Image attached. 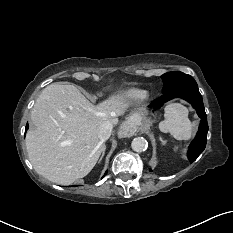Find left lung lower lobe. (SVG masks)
<instances>
[{"mask_svg":"<svg viewBox=\"0 0 233 233\" xmlns=\"http://www.w3.org/2000/svg\"><path fill=\"white\" fill-rule=\"evenodd\" d=\"M176 97L188 101L196 110L198 116L201 118L198 133L195 139L193 140V142L191 143V145L189 146V150L187 153L188 159L192 163L198 158V156L205 149L206 141H207V132H208L207 117L204 110L202 96L199 92L197 84H186L176 87L173 90L163 94L160 98L156 99L150 105V107L154 109H158L165 102Z\"/></svg>","mask_w":233,"mask_h":233,"instance_id":"obj_1","label":"left lung lower lobe"}]
</instances>
